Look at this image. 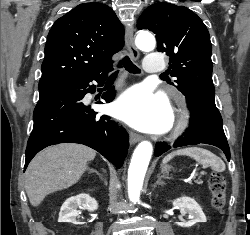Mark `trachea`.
Returning a JSON list of instances; mask_svg holds the SVG:
<instances>
[{
    "mask_svg": "<svg viewBox=\"0 0 250 235\" xmlns=\"http://www.w3.org/2000/svg\"><path fill=\"white\" fill-rule=\"evenodd\" d=\"M122 66H124V68L130 72V73H140V69L135 65L133 64V62L130 60V58L128 56H125L118 64V67L121 68ZM118 74V70H116L114 73H112L110 75V78H114L116 77ZM164 76V75H161V77Z\"/></svg>",
    "mask_w": 250,
    "mask_h": 235,
    "instance_id": "1",
    "label": "trachea"
}]
</instances>
